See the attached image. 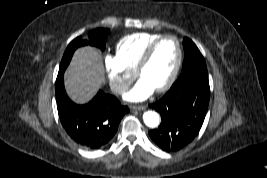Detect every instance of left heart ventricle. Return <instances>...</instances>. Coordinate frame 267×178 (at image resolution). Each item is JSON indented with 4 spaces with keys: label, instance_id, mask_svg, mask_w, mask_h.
<instances>
[{
    "label": "left heart ventricle",
    "instance_id": "left-heart-ventricle-1",
    "mask_svg": "<svg viewBox=\"0 0 267 178\" xmlns=\"http://www.w3.org/2000/svg\"><path fill=\"white\" fill-rule=\"evenodd\" d=\"M177 54L175 40L172 38L163 40L155 49L139 78L146 80L154 89L159 88L169 78L176 63Z\"/></svg>",
    "mask_w": 267,
    "mask_h": 178
}]
</instances>
